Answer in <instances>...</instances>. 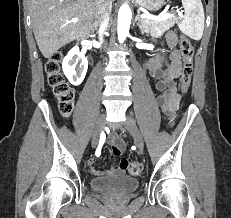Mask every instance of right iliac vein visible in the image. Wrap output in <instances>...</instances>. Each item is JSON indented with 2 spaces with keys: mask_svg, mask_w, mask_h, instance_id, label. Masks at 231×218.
<instances>
[{
  "mask_svg": "<svg viewBox=\"0 0 231 218\" xmlns=\"http://www.w3.org/2000/svg\"><path fill=\"white\" fill-rule=\"evenodd\" d=\"M104 125H105V115H102L96 124L95 130L92 136V141H91L92 148H95L97 146L99 137L104 129Z\"/></svg>",
  "mask_w": 231,
  "mask_h": 218,
  "instance_id": "right-iliac-vein-1",
  "label": "right iliac vein"
}]
</instances>
